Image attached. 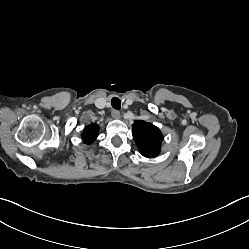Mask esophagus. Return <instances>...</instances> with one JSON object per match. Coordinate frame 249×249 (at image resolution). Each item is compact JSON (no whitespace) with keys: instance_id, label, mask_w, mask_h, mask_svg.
I'll use <instances>...</instances> for the list:
<instances>
[{"instance_id":"34e87169","label":"esophagus","mask_w":249,"mask_h":249,"mask_svg":"<svg viewBox=\"0 0 249 249\" xmlns=\"http://www.w3.org/2000/svg\"><path fill=\"white\" fill-rule=\"evenodd\" d=\"M112 117L114 119H119L120 118V112L118 110H112Z\"/></svg>"}]
</instances>
